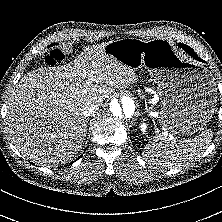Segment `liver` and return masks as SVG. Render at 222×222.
<instances>
[{
  "instance_id": "obj_1",
  "label": "liver",
  "mask_w": 222,
  "mask_h": 222,
  "mask_svg": "<svg viewBox=\"0 0 222 222\" xmlns=\"http://www.w3.org/2000/svg\"><path fill=\"white\" fill-rule=\"evenodd\" d=\"M107 43L67 65L38 68L20 79L8 99L6 124L23 156L41 166L74 159L85 142V104L100 106L116 89L137 81L134 70L104 54Z\"/></svg>"
}]
</instances>
